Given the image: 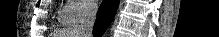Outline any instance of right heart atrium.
Returning a JSON list of instances; mask_svg holds the SVG:
<instances>
[{
  "label": "right heart atrium",
  "instance_id": "d8ad5b80",
  "mask_svg": "<svg viewBox=\"0 0 219 37\" xmlns=\"http://www.w3.org/2000/svg\"><path fill=\"white\" fill-rule=\"evenodd\" d=\"M95 10V1L69 0L62 10V18L65 22L79 23L93 16Z\"/></svg>",
  "mask_w": 219,
  "mask_h": 37
}]
</instances>
